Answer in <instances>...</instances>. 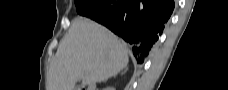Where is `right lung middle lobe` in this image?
Returning a JSON list of instances; mask_svg holds the SVG:
<instances>
[{
    "mask_svg": "<svg viewBox=\"0 0 228 90\" xmlns=\"http://www.w3.org/2000/svg\"><path fill=\"white\" fill-rule=\"evenodd\" d=\"M74 2L80 15L90 17L101 13L106 0H75Z\"/></svg>",
    "mask_w": 228,
    "mask_h": 90,
    "instance_id": "right-lung-middle-lobe-1",
    "label": "right lung middle lobe"
}]
</instances>
